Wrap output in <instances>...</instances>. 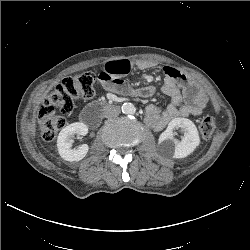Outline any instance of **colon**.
Wrapping results in <instances>:
<instances>
[{
  "mask_svg": "<svg viewBox=\"0 0 250 250\" xmlns=\"http://www.w3.org/2000/svg\"><path fill=\"white\" fill-rule=\"evenodd\" d=\"M95 76L84 72L64 78L55 85L40 106L38 123L44 141H52L58 131L65 125L63 115L70 113L80 100L91 99L95 95ZM217 126L213 117L202 118L199 131L204 139H209Z\"/></svg>",
  "mask_w": 250,
  "mask_h": 250,
  "instance_id": "colon-1",
  "label": "colon"
}]
</instances>
